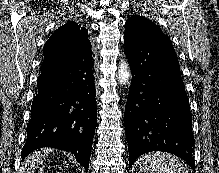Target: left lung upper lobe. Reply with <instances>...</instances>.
<instances>
[{"mask_svg":"<svg viewBox=\"0 0 219 173\" xmlns=\"http://www.w3.org/2000/svg\"><path fill=\"white\" fill-rule=\"evenodd\" d=\"M124 39L131 41L171 43L161 28L151 20L132 15L125 24Z\"/></svg>","mask_w":219,"mask_h":173,"instance_id":"obj_1","label":"left lung upper lobe"}]
</instances>
